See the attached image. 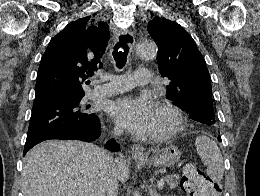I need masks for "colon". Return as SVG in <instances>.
Listing matches in <instances>:
<instances>
[{"instance_id": "colon-1", "label": "colon", "mask_w": 260, "mask_h": 196, "mask_svg": "<svg viewBox=\"0 0 260 196\" xmlns=\"http://www.w3.org/2000/svg\"><path fill=\"white\" fill-rule=\"evenodd\" d=\"M210 179L199 166L193 162H186L183 166L182 185L187 192H199L205 190Z\"/></svg>"}]
</instances>
